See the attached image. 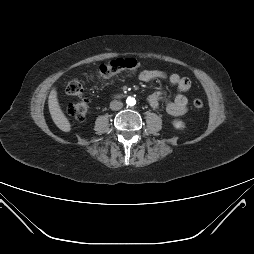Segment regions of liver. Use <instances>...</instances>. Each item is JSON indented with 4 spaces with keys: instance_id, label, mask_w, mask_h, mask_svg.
<instances>
[{
    "instance_id": "6515ba94",
    "label": "liver",
    "mask_w": 254,
    "mask_h": 254,
    "mask_svg": "<svg viewBox=\"0 0 254 254\" xmlns=\"http://www.w3.org/2000/svg\"><path fill=\"white\" fill-rule=\"evenodd\" d=\"M48 107L49 112L52 117V120L56 124V126L62 130L63 132H69L71 130V124L58 102L57 91L56 88H52L49 97H48Z\"/></svg>"
}]
</instances>
